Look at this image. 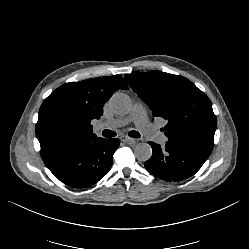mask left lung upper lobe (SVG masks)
I'll return each instance as SVG.
<instances>
[{"label":"left lung upper lobe","mask_w":249,"mask_h":249,"mask_svg":"<svg viewBox=\"0 0 249 249\" xmlns=\"http://www.w3.org/2000/svg\"><path fill=\"white\" fill-rule=\"evenodd\" d=\"M125 79L153 116L168 121L161 129L168 141L213 149L216 116L208 96L191 81L161 71L125 75Z\"/></svg>","instance_id":"1"}]
</instances>
